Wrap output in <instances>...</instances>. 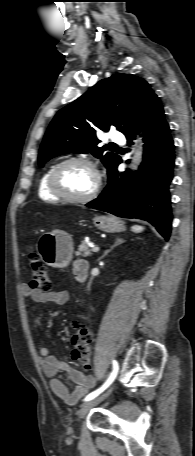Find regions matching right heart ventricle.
Returning <instances> with one entry per match:
<instances>
[{
  "label": "right heart ventricle",
  "mask_w": 195,
  "mask_h": 456,
  "mask_svg": "<svg viewBox=\"0 0 195 456\" xmlns=\"http://www.w3.org/2000/svg\"><path fill=\"white\" fill-rule=\"evenodd\" d=\"M53 166L49 167L48 169L45 170V172L42 174L40 177L39 183H38V195L39 197L44 200V201H58L59 198L56 197L54 194L51 193L48 187V176L50 174V171L52 170Z\"/></svg>",
  "instance_id": "e07e8e85"
}]
</instances>
